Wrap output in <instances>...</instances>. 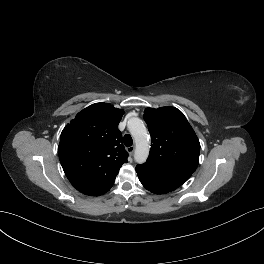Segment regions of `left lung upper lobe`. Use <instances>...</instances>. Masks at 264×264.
<instances>
[{"instance_id":"left-lung-upper-lobe-1","label":"left lung upper lobe","mask_w":264,"mask_h":264,"mask_svg":"<svg viewBox=\"0 0 264 264\" xmlns=\"http://www.w3.org/2000/svg\"><path fill=\"white\" fill-rule=\"evenodd\" d=\"M144 120L152 143L147 162L187 180L199 164L200 143L184 114L175 107L146 108Z\"/></svg>"}]
</instances>
